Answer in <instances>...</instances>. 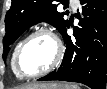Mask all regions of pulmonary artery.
Returning a JSON list of instances; mask_svg holds the SVG:
<instances>
[{
	"instance_id": "e3ab8cb5",
	"label": "pulmonary artery",
	"mask_w": 107,
	"mask_h": 89,
	"mask_svg": "<svg viewBox=\"0 0 107 89\" xmlns=\"http://www.w3.org/2000/svg\"><path fill=\"white\" fill-rule=\"evenodd\" d=\"M71 4H72L73 8L76 9V7L78 5V1L77 0H72Z\"/></svg>"
}]
</instances>
